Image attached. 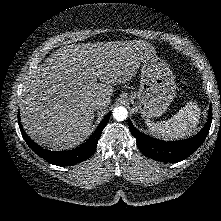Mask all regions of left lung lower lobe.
<instances>
[{
	"instance_id": "left-lung-lower-lobe-1",
	"label": "left lung lower lobe",
	"mask_w": 221,
	"mask_h": 221,
	"mask_svg": "<svg viewBox=\"0 0 221 221\" xmlns=\"http://www.w3.org/2000/svg\"><path fill=\"white\" fill-rule=\"evenodd\" d=\"M212 122L211 107L208 111V120L202 130L192 138L180 141H161L138 131L128 120L129 128L140 151L156 161L176 163L189 157L205 140Z\"/></svg>"
}]
</instances>
